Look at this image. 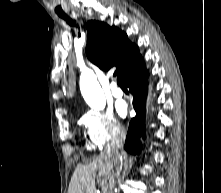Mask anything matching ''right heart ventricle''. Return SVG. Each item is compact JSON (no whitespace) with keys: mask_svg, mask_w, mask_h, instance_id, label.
Here are the masks:
<instances>
[{"mask_svg":"<svg viewBox=\"0 0 221 193\" xmlns=\"http://www.w3.org/2000/svg\"><path fill=\"white\" fill-rule=\"evenodd\" d=\"M93 148H95V146H92V145L88 146V149H93Z\"/></svg>","mask_w":221,"mask_h":193,"instance_id":"obj_1","label":"right heart ventricle"}]
</instances>
